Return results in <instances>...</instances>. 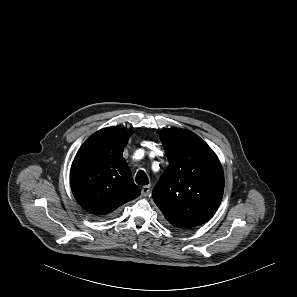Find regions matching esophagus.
<instances>
[{"mask_svg":"<svg viewBox=\"0 0 297 297\" xmlns=\"http://www.w3.org/2000/svg\"><path fill=\"white\" fill-rule=\"evenodd\" d=\"M141 192H142L143 196H145V197L148 196L150 193V186H143L141 188Z\"/></svg>","mask_w":297,"mask_h":297,"instance_id":"1","label":"esophagus"}]
</instances>
